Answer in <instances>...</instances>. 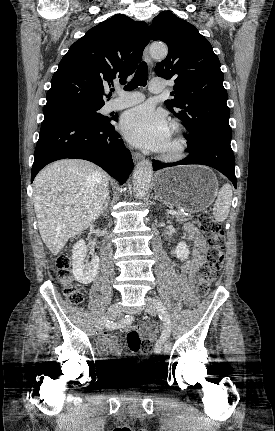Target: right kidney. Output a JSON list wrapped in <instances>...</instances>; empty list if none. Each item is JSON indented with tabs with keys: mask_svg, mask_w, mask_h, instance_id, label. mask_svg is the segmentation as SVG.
I'll return each mask as SVG.
<instances>
[{
	"mask_svg": "<svg viewBox=\"0 0 275 431\" xmlns=\"http://www.w3.org/2000/svg\"><path fill=\"white\" fill-rule=\"evenodd\" d=\"M87 253L88 249L83 239L79 240L72 250V272L76 281L82 284L91 283L99 267V257L92 255L91 262H87Z\"/></svg>",
	"mask_w": 275,
	"mask_h": 431,
	"instance_id": "obj_1",
	"label": "right kidney"
}]
</instances>
